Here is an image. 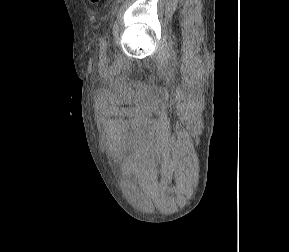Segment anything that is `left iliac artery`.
<instances>
[{
  "instance_id": "obj_1",
  "label": "left iliac artery",
  "mask_w": 289,
  "mask_h": 252,
  "mask_svg": "<svg viewBox=\"0 0 289 252\" xmlns=\"http://www.w3.org/2000/svg\"><path fill=\"white\" fill-rule=\"evenodd\" d=\"M100 43L103 47L106 46V42H105L104 38L101 39Z\"/></svg>"
}]
</instances>
